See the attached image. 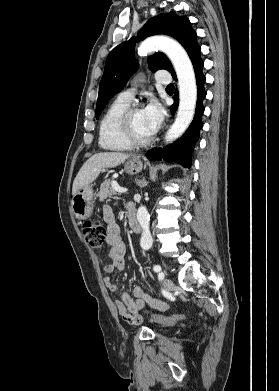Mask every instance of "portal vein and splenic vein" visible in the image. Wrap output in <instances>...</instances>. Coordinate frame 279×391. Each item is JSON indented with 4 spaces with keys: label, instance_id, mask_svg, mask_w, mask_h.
I'll return each mask as SVG.
<instances>
[{
    "label": "portal vein and splenic vein",
    "instance_id": "18ae733b",
    "mask_svg": "<svg viewBox=\"0 0 279 391\" xmlns=\"http://www.w3.org/2000/svg\"><path fill=\"white\" fill-rule=\"evenodd\" d=\"M114 186V183L112 184ZM115 190L118 192V193H126L127 192V189L126 188H121L119 186H115Z\"/></svg>",
    "mask_w": 279,
    "mask_h": 391
}]
</instances>
